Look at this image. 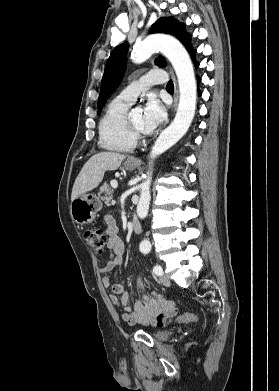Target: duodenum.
Here are the masks:
<instances>
[{
    "mask_svg": "<svg viewBox=\"0 0 279 391\" xmlns=\"http://www.w3.org/2000/svg\"><path fill=\"white\" fill-rule=\"evenodd\" d=\"M132 232L135 235H139L142 232L141 224L136 218L132 219Z\"/></svg>",
    "mask_w": 279,
    "mask_h": 391,
    "instance_id": "duodenum-1",
    "label": "duodenum"
}]
</instances>
